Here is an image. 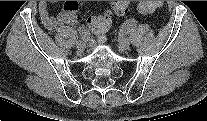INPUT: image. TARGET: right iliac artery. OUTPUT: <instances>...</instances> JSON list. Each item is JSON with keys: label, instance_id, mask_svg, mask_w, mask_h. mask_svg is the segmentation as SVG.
Wrapping results in <instances>:
<instances>
[{"label": "right iliac artery", "instance_id": "82829eb1", "mask_svg": "<svg viewBox=\"0 0 207 121\" xmlns=\"http://www.w3.org/2000/svg\"><path fill=\"white\" fill-rule=\"evenodd\" d=\"M80 37L81 39H83L84 41H87L89 38V33L88 31L85 29V27H81L80 28Z\"/></svg>", "mask_w": 207, "mask_h": 121}]
</instances>
